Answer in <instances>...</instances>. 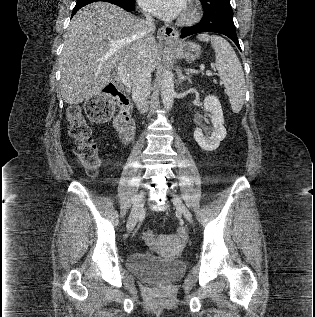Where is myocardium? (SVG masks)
Masks as SVG:
<instances>
[{
    "label": "myocardium",
    "mask_w": 315,
    "mask_h": 317,
    "mask_svg": "<svg viewBox=\"0 0 315 317\" xmlns=\"http://www.w3.org/2000/svg\"><path fill=\"white\" fill-rule=\"evenodd\" d=\"M201 7L197 0H188L185 11L178 18L181 25H190L197 22L201 17Z\"/></svg>",
    "instance_id": "myocardium-1"
}]
</instances>
